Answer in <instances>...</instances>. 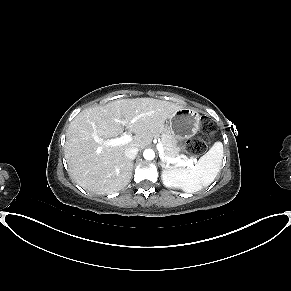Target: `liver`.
<instances>
[{"mask_svg":"<svg viewBox=\"0 0 291 291\" xmlns=\"http://www.w3.org/2000/svg\"><path fill=\"white\" fill-rule=\"evenodd\" d=\"M182 108L154 98H135L83 110L66 133L65 157L71 177L83 189L97 194L124 189L133 171V162L125 156V150L132 146L144 149L165 121ZM125 129L135 134L130 142L120 146L106 144ZM94 134L99 141L93 138Z\"/></svg>","mask_w":291,"mask_h":291,"instance_id":"liver-1","label":"liver"}]
</instances>
